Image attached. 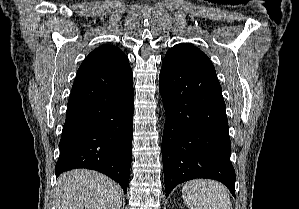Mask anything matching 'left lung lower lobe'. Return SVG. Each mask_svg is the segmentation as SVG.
I'll return each instance as SVG.
<instances>
[{
	"label": "left lung lower lobe",
	"mask_w": 299,
	"mask_h": 209,
	"mask_svg": "<svg viewBox=\"0 0 299 209\" xmlns=\"http://www.w3.org/2000/svg\"><path fill=\"white\" fill-rule=\"evenodd\" d=\"M159 91L166 112L161 148L166 197L195 178L218 180L235 197L228 120L215 69L162 61Z\"/></svg>",
	"instance_id": "obj_1"
}]
</instances>
